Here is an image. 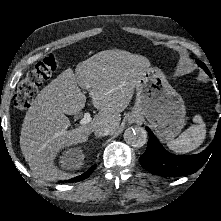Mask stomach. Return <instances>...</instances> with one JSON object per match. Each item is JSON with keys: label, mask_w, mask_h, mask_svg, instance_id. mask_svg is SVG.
Here are the masks:
<instances>
[{"label": "stomach", "mask_w": 221, "mask_h": 221, "mask_svg": "<svg viewBox=\"0 0 221 221\" xmlns=\"http://www.w3.org/2000/svg\"><path fill=\"white\" fill-rule=\"evenodd\" d=\"M132 115L147 119L161 141L176 137L185 125L186 108L180 94L158 68L146 69L136 84Z\"/></svg>", "instance_id": "1"}]
</instances>
